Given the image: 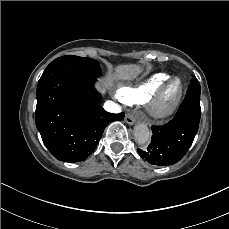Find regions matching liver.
<instances>
[{
    "label": "liver",
    "instance_id": "obj_1",
    "mask_svg": "<svg viewBox=\"0 0 229 229\" xmlns=\"http://www.w3.org/2000/svg\"><path fill=\"white\" fill-rule=\"evenodd\" d=\"M142 72V68L136 64L119 65L115 67V71H109L100 83L96 84V88L105 93L106 90L114 88V82L119 80H133Z\"/></svg>",
    "mask_w": 229,
    "mask_h": 229
}]
</instances>
